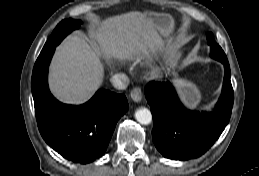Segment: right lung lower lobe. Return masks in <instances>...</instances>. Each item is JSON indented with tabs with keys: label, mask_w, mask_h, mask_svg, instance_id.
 Segmentation results:
<instances>
[{
	"label": "right lung lower lobe",
	"mask_w": 259,
	"mask_h": 176,
	"mask_svg": "<svg viewBox=\"0 0 259 176\" xmlns=\"http://www.w3.org/2000/svg\"><path fill=\"white\" fill-rule=\"evenodd\" d=\"M56 46L41 51L34 65L31 88L39 131L64 158L90 163L107 149L117 121L128 110L124 94L100 89L85 104L57 101L49 91L48 67Z\"/></svg>",
	"instance_id": "right-lung-lower-lobe-1"
}]
</instances>
